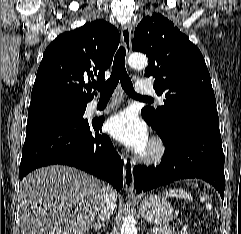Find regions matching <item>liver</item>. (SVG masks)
Instances as JSON below:
<instances>
[{
  "mask_svg": "<svg viewBox=\"0 0 241 234\" xmlns=\"http://www.w3.org/2000/svg\"><path fill=\"white\" fill-rule=\"evenodd\" d=\"M99 179L72 167L53 165L21 182V234H85L101 203Z\"/></svg>",
  "mask_w": 241,
  "mask_h": 234,
  "instance_id": "obj_1",
  "label": "liver"
}]
</instances>
